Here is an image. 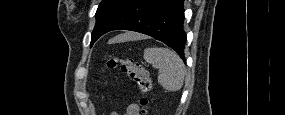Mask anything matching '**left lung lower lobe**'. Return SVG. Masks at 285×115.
Listing matches in <instances>:
<instances>
[{
  "mask_svg": "<svg viewBox=\"0 0 285 115\" xmlns=\"http://www.w3.org/2000/svg\"><path fill=\"white\" fill-rule=\"evenodd\" d=\"M184 0H131L107 25L113 30H132L156 38L173 48L185 62Z\"/></svg>",
  "mask_w": 285,
  "mask_h": 115,
  "instance_id": "left-lung-lower-lobe-1",
  "label": "left lung lower lobe"
}]
</instances>
